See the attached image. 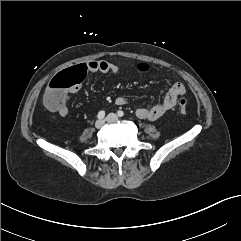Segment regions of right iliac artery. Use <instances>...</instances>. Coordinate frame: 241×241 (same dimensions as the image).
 <instances>
[{"instance_id":"right-iliac-artery-1","label":"right iliac artery","mask_w":241,"mask_h":241,"mask_svg":"<svg viewBox=\"0 0 241 241\" xmlns=\"http://www.w3.org/2000/svg\"><path fill=\"white\" fill-rule=\"evenodd\" d=\"M98 119H103L105 117V111H100L97 115Z\"/></svg>"}]
</instances>
